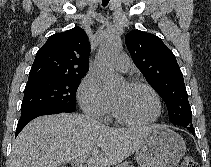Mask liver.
<instances>
[{"instance_id":"6515ba94","label":"liver","mask_w":211,"mask_h":167,"mask_svg":"<svg viewBox=\"0 0 211 167\" xmlns=\"http://www.w3.org/2000/svg\"><path fill=\"white\" fill-rule=\"evenodd\" d=\"M153 127L110 128L75 113L41 116L16 138L9 167H59L90 154L87 167H110L137 151Z\"/></svg>"}]
</instances>
